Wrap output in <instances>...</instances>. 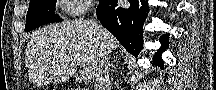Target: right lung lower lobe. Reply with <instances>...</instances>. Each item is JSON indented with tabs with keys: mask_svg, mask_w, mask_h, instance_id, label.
Returning <instances> with one entry per match:
<instances>
[{
	"mask_svg": "<svg viewBox=\"0 0 216 90\" xmlns=\"http://www.w3.org/2000/svg\"><path fill=\"white\" fill-rule=\"evenodd\" d=\"M129 7H120L117 1H102L97 7V17L124 48L135 57L143 48V23L148 13L147 1H129ZM161 47L153 63L163 68L162 53L169 45V34L160 37Z\"/></svg>",
	"mask_w": 216,
	"mask_h": 90,
	"instance_id": "1",
	"label": "right lung lower lobe"
}]
</instances>
